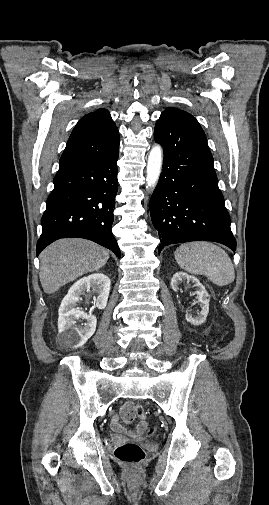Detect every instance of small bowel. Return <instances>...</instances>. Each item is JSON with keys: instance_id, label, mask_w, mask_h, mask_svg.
<instances>
[{"instance_id": "obj_1", "label": "small bowel", "mask_w": 269, "mask_h": 505, "mask_svg": "<svg viewBox=\"0 0 269 505\" xmlns=\"http://www.w3.org/2000/svg\"><path fill=\"white\" fill-rule=\"evenodd\" d=\"M134 403L131 402V401H127L125 402L122 407H121V417L129 422L133 419V416H134ZM146 426V422L144 420H142L137 429L136 430H128L127 428H125L121 422H120V418L118 415H115L112 417L111 419V427L112 429L117 432V433H120V434H126L128 436H136L138 435L139 433H141L143 431V429L145 428Z\"/></svg>"}]
</instances>
